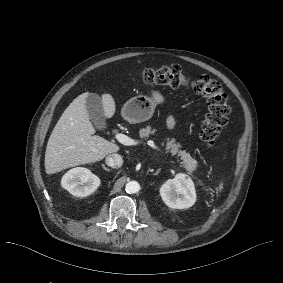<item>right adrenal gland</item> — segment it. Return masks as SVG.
Masks as SVG:
<instances>
[{"label": "right adrenal gland", "mask_w": 283, "mask_h": 283, "mask_svg": "<svg viewBox=\"0 0 283 283\" xmlns=\"http://www.w3.org/2000/svg\"><path fill=\"white\" fill-rule=\"evenodd\" d=\"M102 168H103L104 170H106V171H109V172H110V169H109V168H107V167L105 166V164H102Z\"/></svg>", "instance_id": "right-adrenal-gland-1"}]
</instances>
